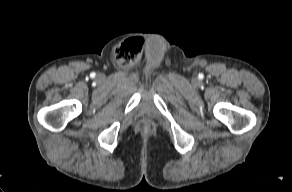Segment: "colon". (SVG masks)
Here are the masks:
<instances>
[{
	"mask_svg": "<svg viewBox=\"0 0 292 192\" xmlns=\"http://www.w3.org/2000/svg\"><path fill=\"white\" fill-rule=\"evenodd\" d=\"M131 46H134L136 49V52L133 54L134 57L140 52V49L142 47V40L140 38L134 39L131 43H124L120 46L118 49V56H125L126 55V50L129 49Z\"/></svg>",
	"mask_w": 292,
	"mask_h": 192,
	"instance_id": "obj_1",
	"label": "colon"
}]
</instances>
